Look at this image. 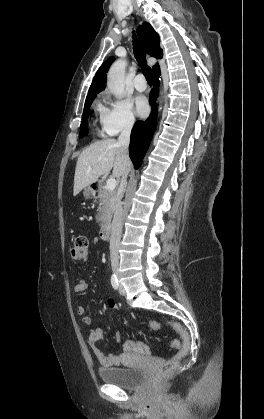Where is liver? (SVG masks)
<instances>
[{
  "instance_id": "obj_1",
  "label": "liver",
  "mask_w": 264,
  "mask_h": 419,
  "mask_svg": "<svg viewBox=\"0 0 264 419\" xmlns=\"http://www.w3.org/2000/svg\"><path fill=\"white\" fill-rule=\"evenodd\" d=\"M112 168V174L116 178L129 173L131 168L129 156L125 157L117 141L105 139L91 144L78 157L73 195L76 196L82 189L95 183L101 175L108 173Z\"/></svg>"
}]
</instances>
